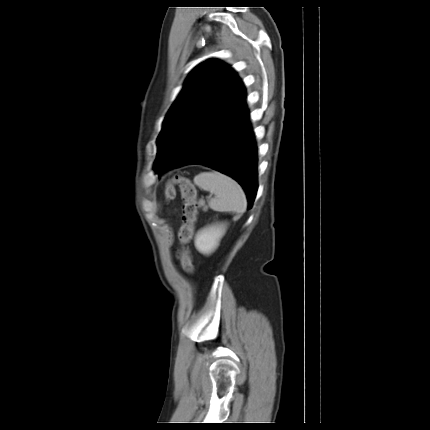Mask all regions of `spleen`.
Returning <instances> with one entry per match:
<instances>
[{
  "label": "spleen",
  "mask_w": 430,
  "mask_h": 430,
  "mask_svg": "<svg viewBox=\"0 0 430 430\" xmlns=\"http://www.w3.org/2000/svg\"><path fill=\"white\" fill-rule=\"evenodd\" d=\"M194 183L215 195L209 202L211 209L239 214L246 211L247 201L244 191L231 177L218 172H202L194 177Z\"/></svg>",
  "instance_id": "1"
}]
</instances>
